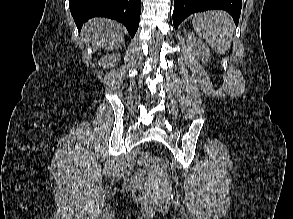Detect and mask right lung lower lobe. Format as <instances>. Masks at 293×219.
Here are the masks:
<instances>
[{
	"mask_svg": "<svg viewBox=\"0 0 293 219\" xmlns=\"http://www.w3.org/2000/svg\"><path fill=\"white\" fill-rule=\"evenodd\" d=\"M69 8L78 30L92 17H107L119 21L134 37L141 14V0H69Z\"/></svg>",
	"mask_w": 293,
	"mask_h": 219,
	"instance_id": "obj_1",
	"label": "right lung lower lobe"
}]
</instances>
